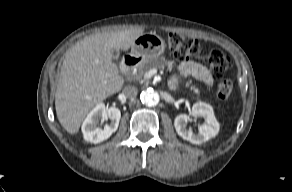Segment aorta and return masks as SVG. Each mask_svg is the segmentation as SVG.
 Wrapping results in <instances>:
<instances>
[{
	"label": "aorta",
	"instance_id": "1",
	"mask_svg": "<svg viewBox=\"0 0 292 192\" xmlns=\"http://www.w3.org/2000/svg\"><path fill=\"white\" fill-rule=\"evenodd\" d=\"M140 100L146 106H156L159 102V95L152 88H148L141 92Z\"/></svg>",
	"mask_w": 292,
	"mask_h": 192
}]
</instances>
